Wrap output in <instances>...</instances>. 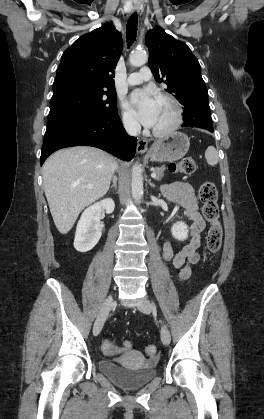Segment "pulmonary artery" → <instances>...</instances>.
<instances>
[{
	"label": "pulmonary artery",
	"instance_id": "1",
	"mask_svg": "<svg viewBox=\"0 0 264 419\" xmlns=\"http://www.w3.org/2000/svg\"><path fill=\"white\" fill-rule=\"evenodd\" d=\"M151 77V72L148 67L141 68L138 72L132 73L129 75L127 82L129 85H138L144 81L149 80Z\"/></svg>",
	"mask_w": 264,
	"mask_h": 419
}]
</instances>
